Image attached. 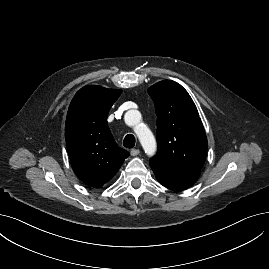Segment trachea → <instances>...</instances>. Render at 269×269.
Listing matches in <instances>:
<instances>
[{
    "mask_svg": "<svg viewBox=\"0 0 269 269\" xmlns=\"http://www.w3.org/2000/svg\"><path fill=\"white\" fill-rule=\"evenodd\" d=\"M123 145L126 148H133L135 146V137L132 134H128L125 136Z\"/></svg>",
    "mask_w": 269,
    "mask_h": 269,
    "instance_id": "1",
    "label": "trachea"
}]
</instances>
